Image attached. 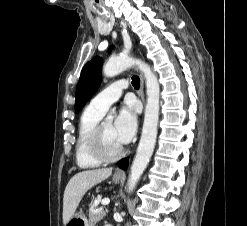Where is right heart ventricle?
<instances>
[{
	"mask_svg": "<svg viewBox=\"0 0 247 226\" xmlns=\"http://www.w3.org/2000/svg\"><path fill=\"white\" fill-rule=\"evenodd\" d=\"M103 114L88 106L82 113L78 126L76 141V163L82 169L95 168L101 163L89 152L88 139Z\"/></svg>",
	"mask_w": 247,
	"mask_h": 226,
	"instance_id": "1",
	"label": "right heart ventricle"
}]
</instances>
